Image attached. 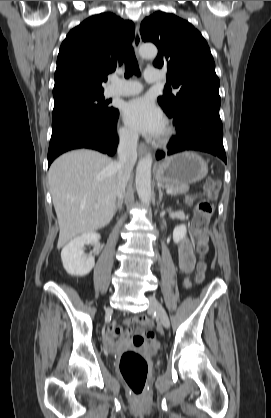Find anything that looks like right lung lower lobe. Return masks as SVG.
<instances>
[{
    "instance_id": "right-lung-lower-lobe-1",
    "label": "right lung lower lobe",
    "mask_w": 271,
    "mask_h": 418,
    "mask_svg": "<svg viewBox=\"0 0 271 418\" xmlns=\"http://www.w3.org/2000/svg\"><path fill=\"white\" fill-rule=\"evenodd\" d=\"M118 110L113 113L70 117L52 124L48 150V167L60 154L78 148L95 149L113 155L118 145L116 124Z\"/></svg>"
}]
</instances>
